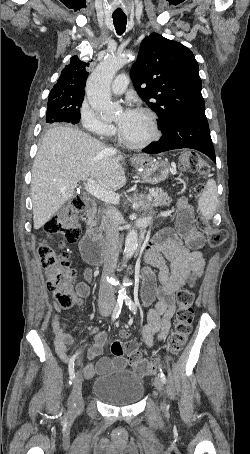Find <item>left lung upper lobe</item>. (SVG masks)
<instances>
[{"instance_id":"left-lung-upper-lobe-1","label":"left lung upper lobe","mask_w":250,"mask_h":454,"mask_svg":"<svg viewBox=\"0 0 250 454\" xmlns=\"http://www.w3.org/2000/svg\"><path fill=\"white\" fill-rule=\"evenodd\" d=\"M130 75L141 99L158 115L161 130L181 116L205 112L198 63L179 42L157 33L145 37Z\"/></svg>"}]
</instances>
